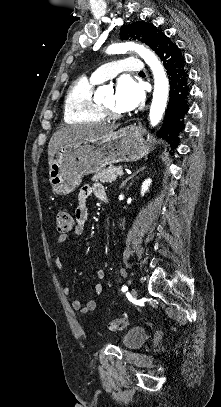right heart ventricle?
<instances>
[{"mask_svg":"<svg viewBox=\"0 0 221 407\" xmlns=\"http://www.w3.org/2000/svg\"><path fill=\"white\" fill-rule=\"evenodd\" d=\"M98 82L80 77L69 87L64 102V120L68 123L100 122L104 116L93 98Z\"/></svg>","mask_w":221,"mask_h":407,"instance_id":"obj_1","label":"right heart ventricle"}]
</instances>
